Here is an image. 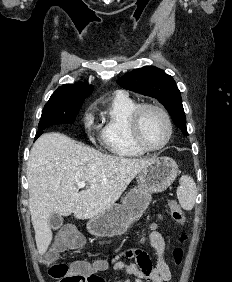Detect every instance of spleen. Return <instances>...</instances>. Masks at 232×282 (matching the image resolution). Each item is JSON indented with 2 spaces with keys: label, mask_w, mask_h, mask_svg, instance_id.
<instances>
[{
  "label": "spleen",
  "mask_w": 232,
  "mask_h": 282,
  "mask_svg": "<svg viewBox=\"0 0 232 282\" xmlns=\"http://www.w3.org/2000/svg\"><path fill=\"white\" fill-rule=\"evenodd\" d=\"M196 196L197 188L194 180L188 175H183L177 189V198L181 207L188 211L191 210L194 207Z\"/></svg>",
  "instance_id": "spleen-1"
}]
</instances>
